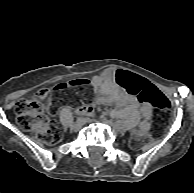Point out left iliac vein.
Returning a JSON list of instances; mask_svg holds the SVG:
<instances>
[{
	"label": "left iliac vein",
	"instance_id": "1",
	"mask_svg": "<svg viewBox=\"0 0 194 193\" xmlns=\"http://www.w3.org/2000/svg\"><path fill=\"white\" fill-rule=\"evenodd\" d=\"M104 123L110 125L115 133H119L122 130V127L119 123H114L109 120H105Z\"/></svg>",
	"mask_w": 194,
	"mask_h": 193
}]
</instances>
